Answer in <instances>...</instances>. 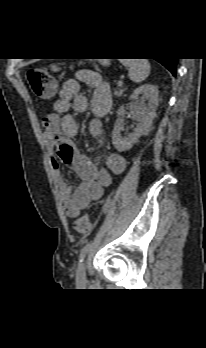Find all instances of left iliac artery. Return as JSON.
I'll use <instances>...</instances> for the list:
<instances>
[{"label":"left iliac artery","mask_w":206,"mask_h":348,"mask_svg":"<svg viewBox=\"0 0 206 348\" xmlns=\"http://www.w3.org/2000/svg\"><path fill=\"white\" fill-rule=\"evenodd\" d=\"M113 204V201L111 200V196L106 197V202L103 205V208L101 209V214L106 215L109 214V210L111 209V206ZM92 247L91 243H87L81 250L80 255H79V261L82 262L83 259L86 257L88 252L90 251Z\"/></svg>","instance_id":"1"}]
</instances>
